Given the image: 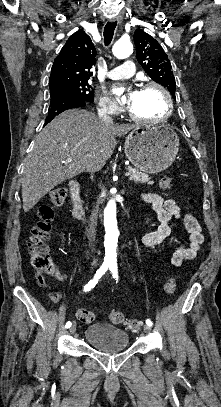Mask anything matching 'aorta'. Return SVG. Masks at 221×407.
<instances>
[{"mask_svg": "<svg viewBox=\"0 0 221 407\" xmlns=\"http://www.w3.org/2000/svg\"><path fill=\"white\" fill-rule=\"evenodd\" d=\"M112 52L118 59H125L129 57L133 52V46L130 41L120 40L117 41ZM116 202L112 199L109 200L107 206L104 209V227H105V261H116V249L119 237V231L117 227L116 219Z\"/></svg>", "mask_w": 221, "mask_h": 407, "instance_id": "aorta-1", "label": "aorta"}]
</instances>
